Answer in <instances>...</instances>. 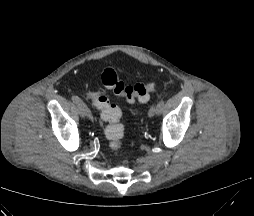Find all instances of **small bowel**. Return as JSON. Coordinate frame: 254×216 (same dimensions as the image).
<instances>
[{"instance_id":"small-bowel-1","label":"small bowel","mask_w":254,"mask_h":216,"mask_svg":"<svg viewBox=\"0 0 254 216\" xmlns=\"http://www.w3.org/2000/svg\"><path fill=\"white\" fill-rule=\"evenodd\" d=\"M90 97L92 98L93 102H94V105H95V100H94V96L92 95V93L90 94ZM96 107V105H95ZM97 108V107H96ZM99 109V108H98ZM100 110V109H99Z\"/></svg>"}]
</instances>
